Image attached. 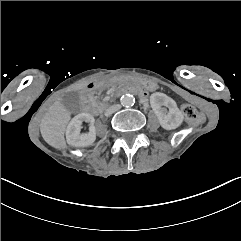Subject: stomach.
I'll use <instances>...</instances> for the list:
<instances>
[{
  "instance_id": "stomach-1",
  "label": "stomach",
  "mask_w": 241,
  "mask_h": 241,
  "mask_svg": "<svg viewBox=\"0 0 241 241\" xmlns=\"http://www.w3.org/2000/svg\"><path fill=\"white\" fill-rule=\"evenodd\" d=\"M111 82L116 85L139 84L150 91L156 90L158 88V85L154 80L127 75L120 72L115 73L111 77Z\"/></svg>"
}]
</instances>
